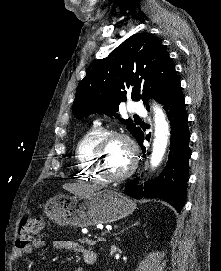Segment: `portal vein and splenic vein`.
I'll return each mask as SVG.
<instances>
[{"mask_svg":"<svg viewBox=\"0 0 221 271\" xmlns=\"http://www.w3.org/2000/svg\"><path fill=\"white\" fill-rule=\"evenodd\" d=\"M105 238V235H100V237H98L96 240L100 242L101 240H105Z\"/></svg>","mask_w":221,"mask_h":271,"instance_id":"obj_1","label":"portal vein and splenic vein"}]
</instances>
